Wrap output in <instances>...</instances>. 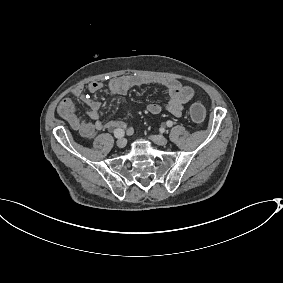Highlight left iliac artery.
<instances>
[{"label": "left iliac artery", "instance_id": "1", "mask_svg": "<svg viewBox=\"0 0 283 283\" xmlns=\"http://www.w3.org/2000/svg\"><path fill=\"white\" fill-rule=\"evenodd\" d=\"M166 124H167L168 127H172L173 122L169 120V121L166 122Z\"/></svg>", "mask_w": 283, "mask_h": 283}]
</instances>
